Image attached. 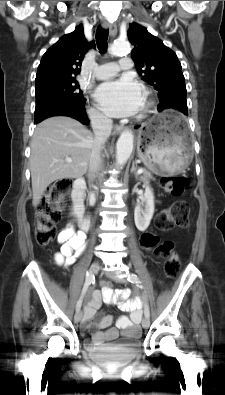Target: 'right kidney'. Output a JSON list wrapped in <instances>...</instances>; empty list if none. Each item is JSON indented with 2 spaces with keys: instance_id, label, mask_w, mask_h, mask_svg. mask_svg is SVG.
Returning <instances> with one entry per match:
<instances>
[{
  "instance_id": "obj_1",
  "label": "right kidney",
  "mask_w": 225,
  "mask_h": 395,
  "mask_svg": "<svg viewBox=\"0 0 225 395\" xmlns=\"http://www.w3.org/2000/svg\"><path fill=\"white\" fill-rule=\"evenodd\" d=\"M84 205L82 200H77L73 206V215L77 218H81L83 216Z\"/></svg>"
}]
</instances>
